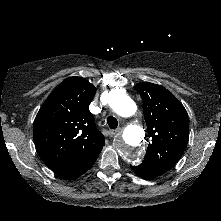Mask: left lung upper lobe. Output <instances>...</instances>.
Segmentation results:
<instances>
[{
  "instance_id": "obj_1",
  "label": "left lung upper lobe",
  "mask_w": 221,
  "mask_h": 221,
  "mask_svg": "<svg viewBox=\"0 0 221 221\" xmlns=\"http://www.w3.org/2000/svg\"><path fill=\"white\" fill-rule=\"evenodd\" d=\"M134 89L142 96L151 138L142 163L163 174L180 160L188 144V114L182 103L163 86L144 82Z\"/></svg>"
}]
</instances>
